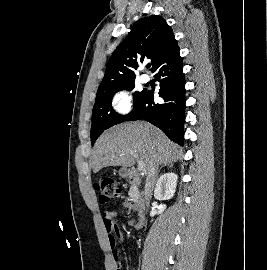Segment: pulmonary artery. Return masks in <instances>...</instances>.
I'll list each match as a JSON object with an SVG mask.
<instances>
[{
	"instance_id": "e3ab8cb5",
	"label": "pulmonary artery",
	"mask_w": 267,
	"mask_h": 270,
	"mask_svg": "<svg viewBox=\"0 0 267 270\" xmlns=\"http://www.w3.org/2000/svg\"><path fill=\"white\" fill-rule=\"evenodd\" d=\"M149 80H150V77H149L148 75L143 74V75L141 76V81H142L143 83H146V82H148Z\"/></svg>"
}]
</instances>
